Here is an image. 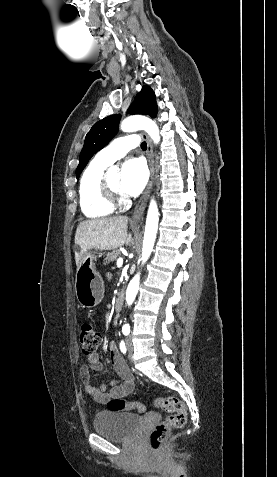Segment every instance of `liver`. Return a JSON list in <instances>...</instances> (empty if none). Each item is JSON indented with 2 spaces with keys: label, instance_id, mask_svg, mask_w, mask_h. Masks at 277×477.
<instances>
[{
  "label": "liver",
  "instance_id": "6515ba94",
  "mask_svg": "<svg viewBox=\"0 0 277 477\" xmlns=\"http://www.w3.org/2000/svg\"><path fill=\"white\" fill-rule=\"evenodd\" d=\"M127 224L126 216L82 221L75 233V244L80 247L75 252L77 267L89 250H114L130 244L132 236L127 232Z\"/></svg>",
  "mask_w": 277,
  "mask_h": 477
}]
</instances>
